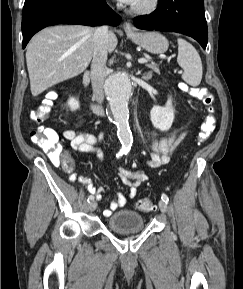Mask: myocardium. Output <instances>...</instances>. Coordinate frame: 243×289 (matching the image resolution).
Here are the masks:
<instances>
[{
    "mask_svg": "<svg viewBox=\"0 0 243 289\" xmlns=\"http://www.w3.org/2000/svg\"><path fill=\"white\" fill-rule=\"evenodd\" d=\"M160 6V0H146L140 5H132L130 11L136 15H147L156 11Z\"/></svg>",
    "mask_w": 243,
    "mask_h": 289,
    "instance_id": "1",
    "label": "myocardium"
}]
</instances>
